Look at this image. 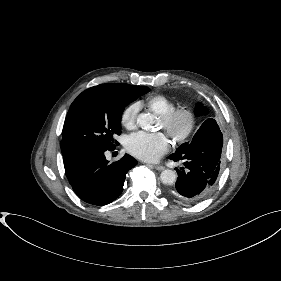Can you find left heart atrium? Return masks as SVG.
<instances>
[{
    "label": "left heart atrium",
    "mask_w": 281,
    "mask_h": 281,
    "mask_svg": "<svg viewBox=\"0 0 281 281\" xmlns=\"http://www.w3.org/2000/svg\"><path fill=\"white\" fill-rule=\"evenodd\" d=\"M126 148L130 154L138 159L155 162L168 152L170 142L163 133L138 132L128 137Z\"/></svg>",
    "instance_id": "39dd6f15"
}]
</instances>
